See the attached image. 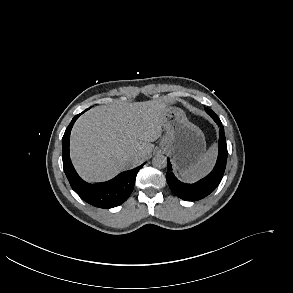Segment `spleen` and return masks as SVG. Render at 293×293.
<instances>
[{"instance_id": "spleen-1", "label": "spleen", "mask_w": 293, "mask_h": 293, "mask_svg": "<svg viewBox=\"0 0 293 293\" xmlns=\"http://www.w3.org/2000/svg\"><path fill=\"white\" fill-rule=\"evenodd\" d=\"M216 155L217 147L213 144L195 164L180 171L181 177L186 181L192 182L205 176L212 169Z\"/></svg>"}]
</instances>
